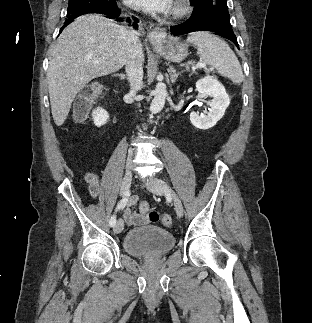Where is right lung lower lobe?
I'll return each instance as SVG.
<instances>
[{"mask_svg":"<svg viewBox=\"0 0 312 323\" xmlns=\"http://www.w3.org/2000/svg\"><path fill=\"white\" fill-rule=\"evenodd\" d=\"M86 13H101V14H105L107 15L108 18H111V19H115L117 21H121L122 18L119 17L120 16V11L118 10V8H94V9H89V10H86L84 9L83 12L81 13H74V14H71L69 16H67V19L65 20V24L64 26L61 28V31L69 24L71 23L74 18L78 17V16H81L83 14H86ZM127 21L128 23H130V18H127ZM133 27L134 28H137V19L134 18V23H133Z\"/></svg>","mask_w":312,"mask_h":323,"instance_id":"98d812e1","label":"right lung lower lobe"}]
</instances>
